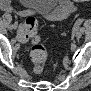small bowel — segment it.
<instances>
[{
  "mask_svg": "<svg viewBox=\"0 0 91 91\" xmlns=\"http://www.w3.org/2000/svg\"><path fill=\"white\" fill-rule=\"evenodd\" d=\"M3 8L7 11L10 10L8 7V4H4ZM39 10H42L45 14L48 16H53V17H58V18H65L72 13L76 11V5L73 2H67V3H62L58 7H56L54 10H51V5L49 3H39L35 4L33 9H29L24 12V14H33ZM21 32V29H20Z\"/></svg>",
  "mask_w": 91,
  "mask_h": 91,
  "instance_id": "small-bowel-1",
  "label": "small bowel"
}]
</instances>
